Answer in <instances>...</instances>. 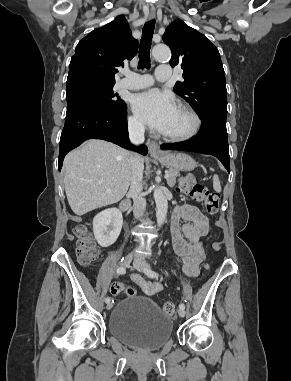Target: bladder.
<instances>
[{
	"label": "bladder",
	"instance_id": "obj_1",
	"mask_svg": "<svg viewBox=\"0 0 291 381\" xmlns=\"http://www.w3.org/2000/svg\"><path fill=\"white\" fill-rule=\"evenodd\" d=\"M108 331L128 346L154 350L171 339L173 323L153 299L133 296L116 304L109 315Z\"/></svg>",
	"mask_w": 291,
	"mask_h": 381
}]
</instances>
